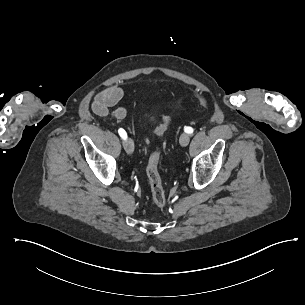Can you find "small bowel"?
I'll list each match as a JSON object with an SVG mask.
<instances>
[{"label": "small bowel", "instance_id": "obj_1", "mask_svg": "<svg viewBox=\"0 0 305 305\" xmlns=\"http://www.w3.org/2000/svg\"><path fill=\"white\" fill-rule=\"evenodd\" d=\"M122 96L123 91L119 86L113 85L107 87L95 95L91 105L92 111L101 117L111 116L115 120H122L127 115L125 107L111 110L121 100Z\"/></svg>", "mask_w": 305, "mask_h": 305}]
</instances>
